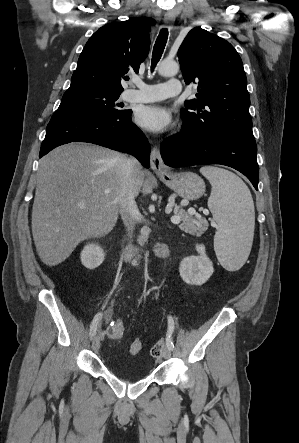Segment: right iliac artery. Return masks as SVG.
Masks as SVG:
<instances>
[{"instance_id":"1","label":"right iliac artery","mask_w":299,"mask_h":443,"mask_svg":"<svg viewBox=\"0 0 299 443\" xmlns=\"http://www.w3.org/2000/svg\"><path fill=\"white\" fill-rule=\"evenodd\" d=\"M102 316H103V314L101 312L97 313L94 316L93 321H92L91 326H90V333H89L90 339H92L96 335L97 325H98L99 321L102 319Z\"/></svg>"}]
</instances>
